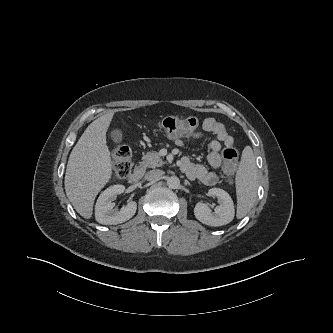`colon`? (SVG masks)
<instances>
[{
	"instance_id": "colon-1",
	"label": "colon",
	"mask_w": 333,
	"mask_h": 333,
	"mask_svg": "<svg viewBox=\"0 0 333 333\" xmlns=\"http://www.w3.org/2000/svg\"><path fill=\"white\" fill-rule=\"evenodd\" d=\"M199 124L195 116L167 117L160 121L159 127L170 137H180L195 131ZM223 170L229 177L233 176L238 164V151L234 146H227L223 150ZM114 177L126 178L132 170L131 151L126 145H119L113 150Z\"/></svg>"
}]
</instances>
